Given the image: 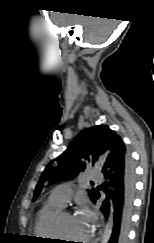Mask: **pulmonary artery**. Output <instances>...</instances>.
<instances>
[{
	"mask_svg": "<svg viewBox=\"0 0 154 243\" xmlns=\"http://www.w3.org/2000/svg\"><path fill=\"white\" fill-rule=\"evenodd\" d=\"M87 180L99 181L100 177L95 172H88L86 175ZM73 194V189L70 184H62L55 187L49 196V200L60 205L66 206L70 201Z\"/></svg>",
	"mask_w": 154,
	"mask_h": 243,
	"instance_id": "pulmonary-artery-1",
	"label": "pulmonary artery"
}]
</instances>
